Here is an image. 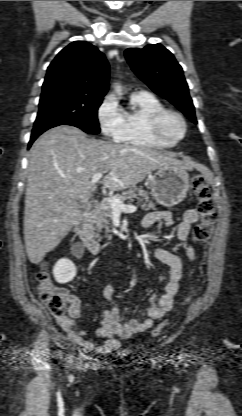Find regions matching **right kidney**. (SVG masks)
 Here are the masks:
<instances>
[{"label":"right kidney","mask_w":242,"mask_h":416,"mask_svg":"<svg viewBox=\"0 0 242 416\" xmlns=\"http://www.w3.org/2000/svg\"><path fill=\"white\" fill-rule=\"evenodd\" d=\"M76 275V266L69 259H60L53 268V276L60 284H65L73 280Z\"/></svg>","instance_id":"1"}]
</instances>
